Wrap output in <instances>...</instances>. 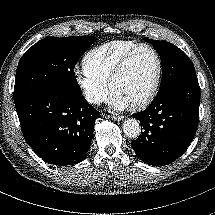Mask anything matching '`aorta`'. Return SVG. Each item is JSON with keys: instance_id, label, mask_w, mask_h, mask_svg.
<instances>
[{"instance_id": "1", "label": "aorta", "mask_w": 215, "mask_h": 215, "mask_svg": "<svg viewBox=\"0 0 215 215\" xmlns=\"http://www.w3.org/2000/svg\"><path fill=\"white\" fill-rule=\"evenodd\" d=\"M124 131L130 139L138 138L141 132L140 123L135 119H128L124 123Z\"/></svg>"}]
</instances>
